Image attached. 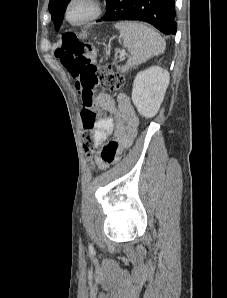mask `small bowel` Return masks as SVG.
<instances>
[{
    "label": "small bowel",
    "mask_w": 227,
    "mask_h": 298,
    "mask_svg": "<svg viewBox=\"0 0 227 298\" xmlns=\"http://www.w3.org/2000/svg\"><path fill=\"white\" fill-rule=\"evenodd\" d=\"M97 104L101 113H110L111 116H105L95 124L94 161L99 167H116V162L121 161V152L131 146L137 135L139 120L130 99L124 94L115 100L111 95L101 93ZM110 137L113 138L106 142Z\"/></svg>",
    "instance_id": "small-bowel-1"
}]
</instances>
